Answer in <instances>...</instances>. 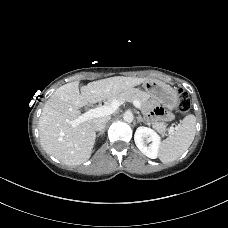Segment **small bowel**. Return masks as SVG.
Wrapping results in <instances>:
<instances>
[{"label":"small bowel","mask_w":228,"mask_h":228,"mask_svg":"<svg viewBox=\"0 0 228 228\" xmlns=\"http://www.w3.org/2000/svg\"><path fill=\"white\" fill-rule=\"evenodd\" d=\"M154 115L167 119V115L164 113V110L161 108H155Z\"/></svg>","instance_id":"small-bowel-1"}]
</instances>
